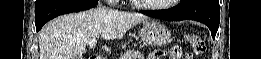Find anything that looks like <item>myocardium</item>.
<instances>
[{
    "instance_id": "myocardium-1",
    "label": "myocardium",
    "mask_w": 261,
    "mask_h": 59,
    "mask_svg": "<svg viewBox=\"0 0 261 59\" xmlns=\"http://www.w3.org/2000/svg\"><path fill=\"white\" fill-rule=\"evenodd\" d=\"M136 6L139 8L145 9V10H163L167 9L170 6H172L173 3L177 2V0H169V2L165 4H147V3H142L136 0L132 1Z\"/></svg>"
}]
</instances>
